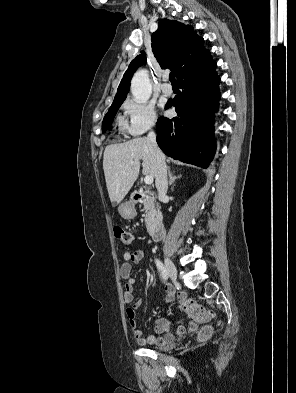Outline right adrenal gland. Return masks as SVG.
Segmentation results:
<instances>
[{"instance_id":"2a0ac1e0","label":"right adrenal gland","mask_w":296,"mask_h":393,"mask_svg":"<svg viewBox=\"0 0 296 393\" xmlns=\"http://www.w3.org/2000/svg\"><path fill=\"white\" fill-rule=\"evenodd\" d=\"M173 172H175V171H173ZM173 172L171 171L170 167H168L169 186H171L173 184L175 179L182 177V175H178V176L173 175Z\"/></svg>"}]
</instances>
